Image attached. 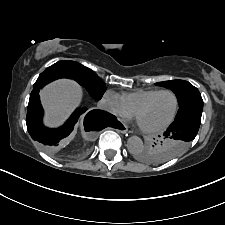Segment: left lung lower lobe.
I'll list each match as a JSON object with an SVG mask.
<instances>
[{"instance_id": "obj_1", "label": "left lung lower lobe", "mask_w": 225, "mask_h": 225, "mask_svg": "<svg viewBox=\"0 0 225 225\" xmlns=\"http://www.w3.org/2000/svg\"><path fill=\"white\" fill-rule=\"evenodd\" d=\"M201 115L202 112L195 111L175 118L174 122L164 132V136L191 142L198 133ZM183 148L184 145H174L172 149V152L174 153L173 157L182 153L184 151Z\"/></svg>"}]
</instances>
